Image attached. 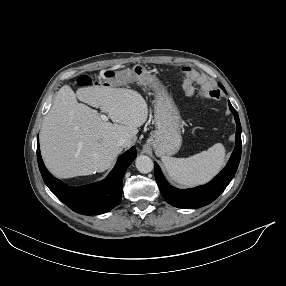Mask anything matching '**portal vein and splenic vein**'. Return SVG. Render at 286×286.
<instances>
[{"instance_id": "1", "label": "portal vein and splenic vein", "mask_w": 286, "mask_h": 286, "mask_svg": "<svg viewBox=\"0 0 286 286\" xmlns=\"http://www.w3.org/2000/svg\"><path fill=\"white\" fill-rule=\"evenodd\" d=\"M101 119L103 121H108V117L106 115H104V114L101 115Z\"/></svg>"}]
</instances>
